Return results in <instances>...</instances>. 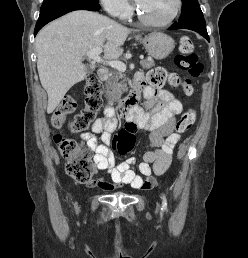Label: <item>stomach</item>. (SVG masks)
<instances>
[{"mask_svg":"<svg viewBox=\"0 0 248 258\" xmlns=\"http://www.w3.org/2000/svg\"><path fill=\"white\" fill-rule=\"evenodd\" d=\"M137 39L142 41L148 54L158 60L166 58L175 47L174 40L160 32L151 33L143 39L137 37Z\"/></svg>","mask_w":248,"mask_h":258,"instance_id":"1","label":"stomach"}]
</instances>
